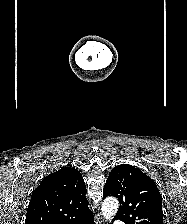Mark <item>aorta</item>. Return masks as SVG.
<instances>
[{
    "label": "aorta",
    "mask_w": 187,
    "mask_h": 224,
    "mask_svg": "<svg viewBox=\"0 0 187 224\" xmlns=\"http://www.w3.org/2000/svg\"><path fill=\"white\" fill-rule=\"evenodd\" d=\"M119 201L114 197L106 198L102 204V214L106 220H111L117 213Z\"/></svg>",
    "instance_id": "1"
}]
</instances>
